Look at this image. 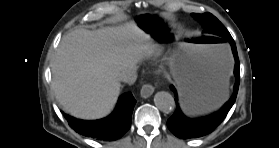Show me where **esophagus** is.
Returning a JSON list of instances; mask_svg holds the SVG:
<instances>
[{
	"instance_id": "esophagus-1",
	"label": "esophagus",
	"mask_w": 279,
	"mask_h": 148,
	"mask_svg": "<svg viewBox=\"0 0 279 148\" xmlns=\"http://www.w3.org/2000/svg\"><path fill=\"white\" fill-rule=\"evenodd\" d=\"M154 92V86L152 84H145L142 86L140 95L142 98L150 97Z\"/></svg>"
}]
</instances>
